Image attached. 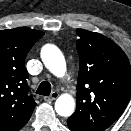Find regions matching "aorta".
Segmentation results:
<instances>
[{"label":"aorta","instance_id":"1","mask_svg":"<svg viewBox=\"0 0 131 131\" xmlns=\"http://www.w3.org/2000/svg\"><path fill=\"white\" fill-rule=\"evenodd\" d=\"M41 59L46 68L57 77L66 72V62L62 52L54 45L47 44L41 50ZM75 109V101L68 94L61 95L55 102V110L63 117L71 116Z\"/></svg>","mask_w":131,"mask_h":131}]
</instances>
